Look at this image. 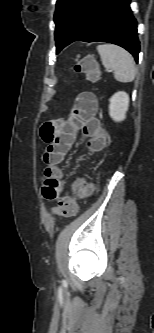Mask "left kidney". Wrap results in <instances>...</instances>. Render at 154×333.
Listing matches in <instances>:
<instances>
[{"instance_id": "1", "label": "left kidney", "mask_w": 154, "mask_h": 333, "mask_svg": "<svg viewBox=\"0 0 154 333\" xmlns=\"http://www.w3.org/2000/svg\"><path fill=\"white\" fill-rule=\"evenodd\" d=\"M109 115L115 122H121L126 118L129 107V96L124 91L115 93L109 100Z\"/></svg>"}]
</instances>
